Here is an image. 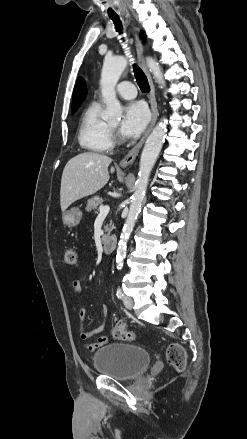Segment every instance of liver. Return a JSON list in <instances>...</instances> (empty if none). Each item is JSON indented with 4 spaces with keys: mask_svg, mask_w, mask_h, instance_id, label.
<instances>
[{
    "mask_svg": "<svg viewBox=\"0 0 247 439\" xmlns=\"http://www.w3.org/2000/svg\"><path fill=\"white\" fill-rule=\"evenodd\" d=\"M111 162L110 157L94 152H84L71 158L65 165L61 179V210L100 190L109 180L108 166Z\"/></svg>",
    "mask_w": 247,
    "mask_h": 439,
    "instance_id": "obj_1",
    "label": "liver"
}]
</instances>
